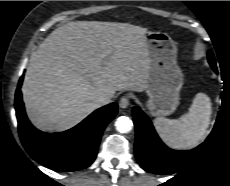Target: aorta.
<instances>
[{
  "mask_svg": "<svg viewBox=\"0 0 230 186\" xmlns=\"http://www.w3.org/2000/svg\"><path fill=\"white\" fill-rule=\"evenodd\" d=\"M115 126L118 132L127 133L132 129L133 123L129 117L121 116L116 120Z\"/></svg>",
  "mask_w": 230,
  "mask_h": 186,
  "instance_id": "aorta-1",
  "label": "aorta"
}]
</instances>
